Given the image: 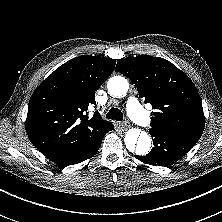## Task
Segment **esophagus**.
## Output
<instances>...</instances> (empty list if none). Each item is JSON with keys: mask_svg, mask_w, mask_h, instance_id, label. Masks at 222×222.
Returning <instances> with one entry per match:
<instances>
[{"mask_svg": "<svg viewBox=\"0 0 222 222\" xmlns=\"http://www.w3.org/2000/svg\"><path fill=\"white\" fill-rule=\"evenodd\" d=\"M117 126H118L119 128H121L122 130H125V129H127L130 125H129L128 122H121V123L117 124Z\"/></svg>", "mask_w": 222, "mask_h": 222, "instance_id": "34e87169", "label": "esophagus"}]
</instances>
